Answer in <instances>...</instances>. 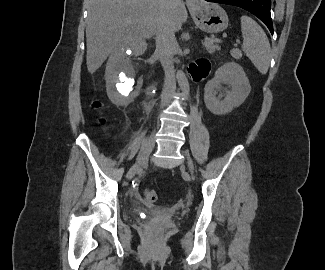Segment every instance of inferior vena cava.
I'll use <instances>...</instances> for the list:
<instances>
[{"label": "inferior vena cava", "mask_w": 325, "mask_h": 270, "mask_svg": "<svg viewBox=\"0 0 325 270\" xmlns=\"http://www.w3.org/2000/svg\"><path fill=\"white\" fill-rule=\"evenodd\" d=\"M178 0H161L162 14L156 29V50L165 72L164 87L161 95V106H167L175 93L176 80L173 62L177 41L172 26V7Z\"/></svg>", "instance_id": "inferior-vena-cava-1"}]
</instances>
